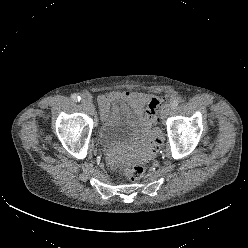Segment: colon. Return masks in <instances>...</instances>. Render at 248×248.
Here are the masks:
<instances>
[{
    "instance_id": "1",
    "label": "colon",
    "mask_w": 248,
    "mask_h": 248,
    "mask_svg": "<svg viewBox=\"0 0 248 248\" xmlns=\"http://www.w3.org/2000/svg\"><path fill=\"white\" fill-rule=\"evenodd\" d=\"M159 103H160L159 99L154 97L146 110L145 122L149 126L155 125L157 121L156 109ZM144 171L145 169L143 165L139 163L124 164L117 168L118 175L121 178L125 180H130V181H135V180L140 179L143 176Z\"/></svg>"
}]
</instances>
